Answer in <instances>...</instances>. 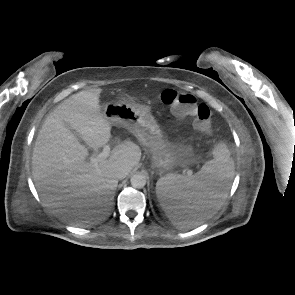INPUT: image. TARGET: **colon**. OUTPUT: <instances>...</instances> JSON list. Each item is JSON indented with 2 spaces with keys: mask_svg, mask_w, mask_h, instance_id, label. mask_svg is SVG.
Returning a JSON list of instances; mask_svg holds the SVG:
<instances>
[{
  "mask_svg": "<svg viewBox=\"0 0 295 295\" xmlns=\"http://www.w3.org/2000/svg\"><path fill=\"white\" fill-rule=\"evenodd\" d=\"M161 101L170 106L178 118H189L196 129L204 134L212 131V114L208 106L197 103L196 98L175 89H166L161 93Z\"/></svg>",
  "mask_w": 295,
  "mask_h": 295,
  "instance_id": "1",
  "label": "colon"
}]
</instances>
